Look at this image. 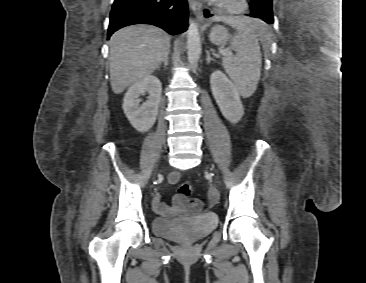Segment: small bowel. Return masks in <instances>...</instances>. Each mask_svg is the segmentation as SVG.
<instances>
[{"label":"small bowel","mask_w":366,"mask_h":283,"mask_svg":"<svg viewBox=\"0 0 366 283\" xmlns=\"http://www.w3.org/2000/svg\"><path fill=\"white\" fill-rule=\"evenodd\" d=\"M180 176H181L180 172H178V171L173 172L169 177V183L170 184L177 183L180 179ZM153 203H154L156 210L159 213L164 214V215H168L171 213V209L165 203H163L161 201L159 194L155 195V197L153 199ZM182 204H183L182 200H180L179 198L175 199V207L180 208V207H182Z\"/></svg>","instance_id":"c3829d8e"}]
</instances>
